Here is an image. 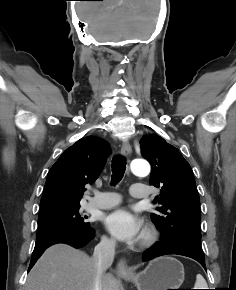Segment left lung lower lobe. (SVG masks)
<instances>
[{"label":"left lung lower lobe","instance_id":"left-lung-lower-lobe-1","mask_svg":"<svg viewBox=\"0 0 236 290\" xmlns=\"http://www.w3.org/2000/svg\"><path fill=\"white\" fill-rule=\"evenodd\" d=\"M168 254H178L190 257L198 261L206 270L205 257L202 249L184 240L174 244H168L162 239L161 242L156 243L151 249L144 252L143 261H148L155 257Z\"/></svg>","mask_w":236,"mask_h":290}]
</instances>
